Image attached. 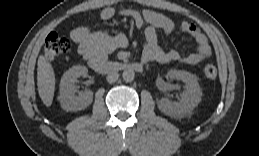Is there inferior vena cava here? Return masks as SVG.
Wrapping results in <instances>:
<instances>
[{"label":"inferior vena cava","mask_w":259,"mask_h":156,"mask_svg":"<svg viewBox=\"0 0 259 156\" xmlns=\"http://www.w3.org/2000/svg\"><path fill=\"white\" fill-rule=\"evenodd\" d=\"M118 78H119L118 72H115V71L111 72L107 76V82L108 83H114V82H116L118 80Z\"/></svg>","instance_id":"1"}]
</instances>
